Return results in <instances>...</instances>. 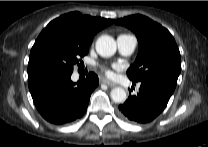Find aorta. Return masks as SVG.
I'll list each match as a JSON object with an SVG mask.
<instances>
[{"label":"aorta","instance_id":"aorta-1","mask_svg":"<svg viewBox=\"0 0 208 147\" xmlns=\"http://www.w3.org/2000/svg\"><path fill=\"white\" fill-rule=\"evenodd\" d=\"M96 51L102 57H111L116 52V42L109 35H102L96 41ZM111 99L115 103H123L127 99L126 91L121 87H116L111 91Z\"/></svg>","mask_w":208,"mask_h":147}]
</instances>
